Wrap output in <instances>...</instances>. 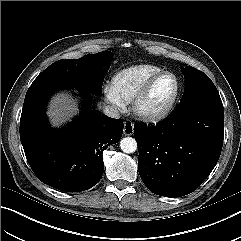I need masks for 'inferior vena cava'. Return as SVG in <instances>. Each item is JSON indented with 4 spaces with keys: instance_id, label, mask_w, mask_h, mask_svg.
I'll return each mask as SVG.
<instances>
[{
    "instance_id": "obj_1",
    "label": "inferior vena cava",
    "mask_w": 241,
    "mask_h": 241,
    "mask_svg": "<svg viewBox=\"0 0 241 241\" xmlns=\"http://www.w3.org/2000/svg\"><path fill=\"white\" fill-rule=\"evenodd\" d=\"M103 112L106 116L110 117V118H114V119H118L120 118V113L117 110V108H115L114 106H105V108L103 109Z\"/></svg>"
}]
</instances>
